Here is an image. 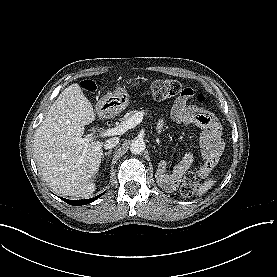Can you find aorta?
<instances>
[{"mask_svg": "<svg viewBox=\"0 0 277 277\" xmlns=\"http://www.w3.org/2000/svg\"><path fill=\"white\" fill-rule=\"evenodd\" d=\"M146 145L142 139H135L130 144V151L133 154H141L145 150Z\"/></svg>", "mask_w": 277, "mask_h": 277, "instance_id": "obj_1", "label": "aorta"}]
</instances>
